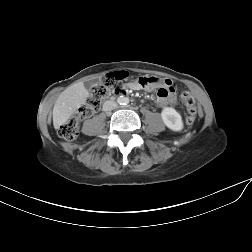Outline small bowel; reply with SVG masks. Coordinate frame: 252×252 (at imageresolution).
I'll return each mask as SVG.
<instances>
[{
  "mask_svg": "<svg viewBox=\"0 0 252 252\" xmlns=\"http://www.w3.org/2000/svg\"><path fill=\"white\" fill-rule=\"evenodd\" d=\"M149 80L151 81L150 88H144L139 83L138 80L129 82L126 84V87L131 90H141V89H157V104L162 106L164 104H174L176 102V93L173 86V82L169 78L161 79L150 77Z\"/></svg>",
  "mask_w": 252,
  "mask_h": 252,
  "instance_id": "small-bowel-1",
  "label": "small bowel"
}]
</instances>
